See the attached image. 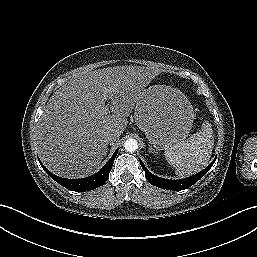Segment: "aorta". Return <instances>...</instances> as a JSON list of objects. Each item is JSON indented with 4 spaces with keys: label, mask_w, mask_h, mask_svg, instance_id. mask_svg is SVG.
<instances>
[{
    "label": "aorta",
    "mask_w": 257,
    "mask_h": 257,
    "mask_svg": "<svg viewBox=\"0 0 257 257\" xmlns=\"http://www.w3.org/2000/svg\"><path fill=\"white\" fill-rule=\"evenodd\" d=\"M124 147L126 151L133 152L138 148V143L135 139H128L124 143Z\"/></svg>",
    "instance_id": "aorta-1"
}]
</instances>
